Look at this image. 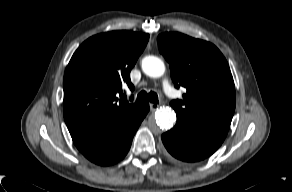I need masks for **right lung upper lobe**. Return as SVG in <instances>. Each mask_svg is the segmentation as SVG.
I'll return each instance as SVG.
<instances>
[{
    "mask_svg": "<svg viewBox=\"0 0 292 192\" xmlns=\"http://www.w3.org/2000/svg\"><path fill=\"white\" fill-rule=\"evenodd\" d=\"M149 35L112 31L84 41L64 74V119L68 129L107 124L136 113L141 105L118 102L122 85L133 90L130 71Z\"/></svg>",
    "mask_w": 292,
    "mask_h": 192,
    "instance_id": "right-lung-upper-lobe-1",
    "label": "right lung upper lobe"
}]
</instances>
